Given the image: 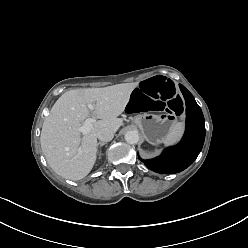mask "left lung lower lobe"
Masks as SVG:
<instances>
[{
  "mask_svg": "<svg viewBox=\"0 0 248 248\" xmlns=\"http://www.w3.org/2000/svg\"><path fill=\"white\" fill-rule=\"evenodd\" d=\"M186 104V130L182 140L173 147L166 148L154 158L140 160L154 172L161 174L178 173L189 167L202 150L205 140L204 116L192 94L180 85Z\"/></svg>",
  "mask_w": 248,
  "mask_h": 248,
  "instance_id": "1",
  "label": "left lung lower lobe"
}]
</instances>
